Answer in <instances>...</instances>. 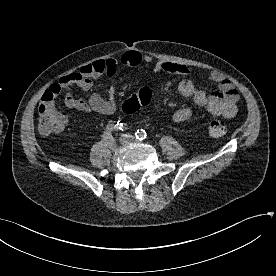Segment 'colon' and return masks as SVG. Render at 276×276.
Instances as JSON below:
<instances>
[{
	"label": "colon",
	"instance_id": "1",
	"mask_svg": "<svg viewBox=\"0 0 276 276\" xmlns=\"http://www.w3.org/2000/svg\"><path fill=\"white\" fill-rule=\"evenodd\" d=\"M49 90V96L45 101L40 102L38 106L39 130L44 136L60 133L64 129L66 123L65 116L55 105V98L60 94L61 87L55 84ZM151 97V89L149 87H142L124 101L122 110L126 114H132L141 107L148 105L151 101ZM207 132L210 136L221 137L227 132V124L222 119H211L207 123Z\"/></svg>",
	"mask_w": 276,
	"mask_h": 276
}]
</instances>
